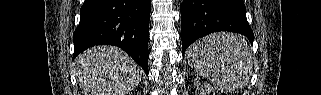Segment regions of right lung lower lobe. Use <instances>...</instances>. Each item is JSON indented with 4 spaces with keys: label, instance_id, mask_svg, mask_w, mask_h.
Wrapping results in <instances>:
<instances>
[{
    "label": "right lung lower lobe",
    "instance_id": "obj_1",
    "mask_svg": "<svg viewBox=\"0 0 321 95\" xmlns=\"http://www.w3.org/2000/svg\"><path fill=\"white\" fill-rule=\"evenodd\" d=\"M150 0H85L73 35L74 58L95 45L127 52L148 75Z\"/></svg>",
    "mask_w": 321,
    "mask_h": 95
}]
</instances>
